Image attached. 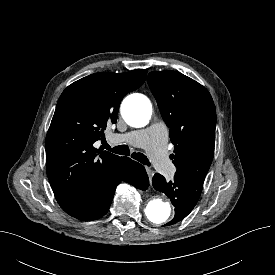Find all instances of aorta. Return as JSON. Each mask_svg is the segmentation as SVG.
Listing matches in <instances>:
<instances>
[{"mask_svg":"<svg viewBox=\"0 0 275 275\" xmlns=\"http://www.w3.org/2000/svg\"><path fill=\"white\" fill-rule=\"evenodd\" d=\"M152 112V103L142 94L128 96L121 105L122 117L132 127L145 126L149 122ZM144 211L147 219L157 225L166 223L173 212L170 203L162 199H152Z\"/></svg>","mask_w":275,"mask_h":275,"instance_id":"762f6f07","label":"aorta"}]
</instances>
